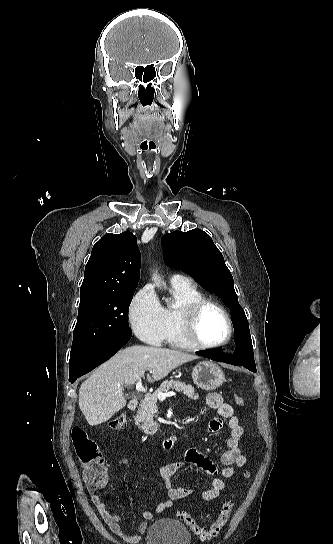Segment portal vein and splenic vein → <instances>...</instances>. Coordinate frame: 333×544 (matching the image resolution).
<instances>
[{
	"instance_id": "18ae733b",
	"label": "portal vein and splenic vein",
	"mask_w": 333,
	"mask_h": 544,
	"mask_svg": "<svg viewBox=\"0 0 333 544\" xmlns=\"http://www.w3.org/2000/svg\"><path fill=\"white\" fill-rule=\"evenodd\" d=\"M136 390L139 392H146L145 387L142 385L141 379H139L138 382L136 383ZM172 396H176V393L174 392L159 393L158 399L162 401L165 398L172 397Z\"/></svg>"
}]
</instances>
